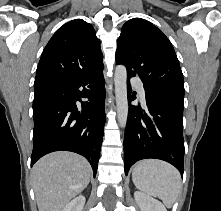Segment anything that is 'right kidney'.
I'll use <instances>...</instances> for the list:
<instances>
[{"label":"right kidney","instance_id":"1","mask_svg":"<svg viewBox=\"0 0 221 211\" xmlns=\"http://www.w3.org/2000/svg\"><path fill=\"white\" fill-rule=\"evenodd\" d=\"M85 201V197L79 195L69 202L62 211H83Z\"/></svg>","mask_w":221,"mask_h":211}]
</instances>
